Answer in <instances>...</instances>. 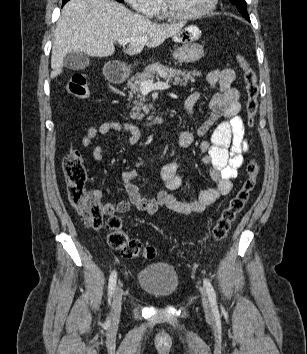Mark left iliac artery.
Segmentation results:
<instances>
[{
	"label": "left iliac artery",
	"mask_w": 307,
	"mask_h": 354,
	"mask_svg": "<svg viewBox=\"0 0 307 354\" xmlns=\"http://www.w3.org/2000/svg\"><path fill=\"white\" fill-rule=\"evenodd\" d=\"M203 283H204V286H205L206 291H207V293H208L212 310H213L214 312H216V311L218 310V308H217L215 290H214L212 284L210 283V281H209L208 279L205 278V279L203 280Z\"/></svg>",
	"instance_id": "1"
}]
</instances>
